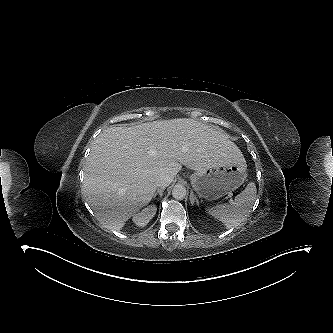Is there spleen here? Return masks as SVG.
Instances as JSON below:
<instances>
[{
	"label": "spleen",
	"instance_id": "1",
	"mask_svg": "<svg viewBox=\"0 0 333 333\" xmlns=\"http://www.w3.org/2000/svg\"><path fill=\"white\" fill-rule=\"evenodd\" d=\"M257 189L253 182L238 194L229 204L207 208L206 211L215 219L221 221L228 229L240 226L251 212L256 199Z\"/></svg>",
	"mask_w": 333,
	"mask_h": 333
}]
</instances>
